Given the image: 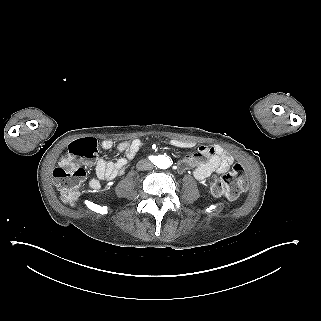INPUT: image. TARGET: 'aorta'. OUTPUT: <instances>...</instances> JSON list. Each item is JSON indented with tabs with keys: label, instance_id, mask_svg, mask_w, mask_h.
<instances>
[{
	"label": "aorta",
	"instance_id": "762f6f07",
	"mask_svg": "<svg viewBox=\"0 0 321 321\" xmlns=\"http://www.w3.org/2000/svg\"><path fill=\"white\" fill-rule=\"evenodd\" d=\"M161 167L162 168H168L171 165V160L168 157H163L161 160Z\"/></svg>",
	"mask_w": 321,
	"mask_h": 321
}]
</instances>
